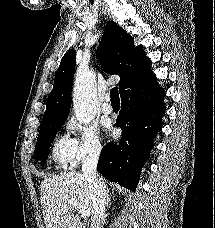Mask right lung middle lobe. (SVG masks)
Returning a JSON list of instances; mask_svg holds the SVG:
<instances>
[{"label": "right lung middle lobe", "instance_id": "dd1d6c3e", "mask_svg": "<svg viewBox=\"0 0 215 228\" xmlns=\"http://www.w3.org/2000/svg\"><path fill=\"white\" fill-rule=\"evenodd\" d=\"M64 122L51 123L40 127V134L37 139L35 159L46 161L51 142L56 133L63 126Z\"/></svg>", "mask_w": 215, "mask_h": 228}]
</instances>
